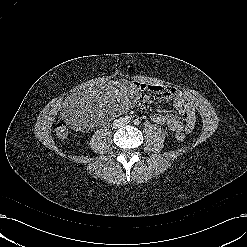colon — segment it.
<instances>
[{"label":"colon","instance_id":"5ec220e1","mask_svg":"<svg viewBox=\"0 0 247 247\" xmlns=\"http://www.w3.org/2000/svg\"><path fill=\"white\" fill-rule=\"evenodd\" d=\"M55 132L59 138H65V137H67V135L69 133V129H68L66 124H64L63 122H59L56 125ZM175 137L177 140H183L185 137V134L182 131H177L175 133Z\"/></svg>","mask_w":247,"mask_h":247}]
</instances>
